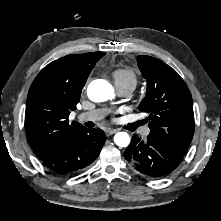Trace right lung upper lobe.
Returning <instances> with one entry per match:
<instances>
[{
	"mask_svg": "<svg viewBox=\"0 0 221 221\" xmlns=\"http://www.w3.org/2000/svg\"><path fill=\"white\" fill-rule=\"evenodd\" d=\"M104 52L67 55L48 64L34 79L27 97L25 130L28 142L42 160L70 136L85 129L69 122L82 88Z\"/></svg>",
	"mask_w": 221,
	"mask_h": 221,
	"instance_id": "obj_1",
	"label": "right lung upper lobe"
}]
</instances>
